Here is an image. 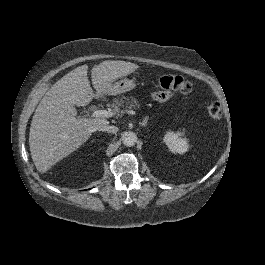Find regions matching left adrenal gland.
<instances>
[{
	"mask_svg": "<svg viewBox=\"0 0 265 265\" xmlns=\"http://www.w3.org/2000/svg\"><path fill=\"white\" fill-rule=\"evenodd\" d=\"M148 119H149V117L146 116V117L143 119L142 122H139V125H140V126H144V127H146V126H147V121H148Z\"/></svg>",
	"mask_w": 265,
	"mask_h": 265,
	"instance_id": "left-adrenal-gland-1",
	"label": "left adrenal gland"
}]
</instances>
